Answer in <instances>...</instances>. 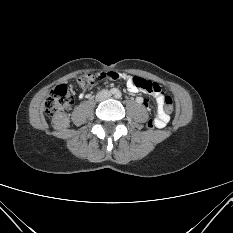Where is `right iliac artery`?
Segmentation results:
<instances>
[{
    "mask_svg": "<svg viewBox=\"0 0 233 233\" xmlns=\"http://www.w3.org/2000/svg\"><path fill=\"white\" fill-rule=\"evenodd\" d=\"M112 94L116 93V90L115 89H111L110 91Z\"/></svg>",
    "mask_w": 233,
    "mask_h": 233,
    "instance_id": "82829eb1",
    "label": "right iliac artery"
}]
</instances>
